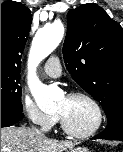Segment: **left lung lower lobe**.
Masks as SVG:
<instances>
[{"label":"left lung lower lobe","instance_id":"0a47b994","mask_svg":"<svg viewBox=\"0 0 123 152\" xmlns=\"http://www.w3.org/2000/svg\"><path fill=\"white\" fill-rule=\"evenodd\" d=\"M92 139L123 141V112L116 113L114 118L108 122L107 128Z\"/></svg>","mask_w":123,"mask_h":152}]
</instances>
